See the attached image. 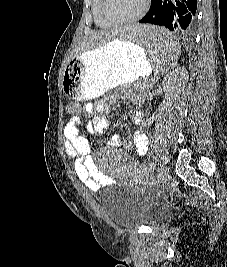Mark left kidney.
Wrapping results in <instances>:
<instances>
[{
    "label": "left kidney",
    "instance_id": "obj_1",
    "mask_svg": "<svg viewBox=\"0 0 227 267\" xmlns=\"http://www.w3.org/2000/svg\"><path fill=\"white\" fill-rule=\"evenodd\" d=\"M188 79V71L184 67L173 70V72L169 73V77L164 78L163 90L165 92V100L168 104L179 97Z\"/></svg>",
    "mask_w": 227,
    "mask_h": 267
}]
</instances>
